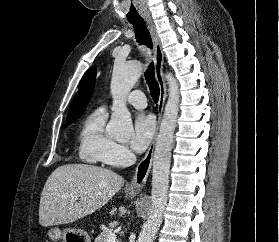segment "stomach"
<instances>
[{"label": "stomach", "instance_id": "1", "mask_svg": "<svg viewBox=\"0 0 279 242\" xmlns=\"http://www.w3.org/2000/svg\"><path fill=\"white\" fill-rule=\"evenodd\" d=\"M135 194H130V196H134ZM47 236L52 242H58L62 240V242H90V238L88 235L78 229H63L61 230L58 227H51L47 231Z\"/></svg>", "mask_w": 279, "mask_h": 242}]
</instances>
